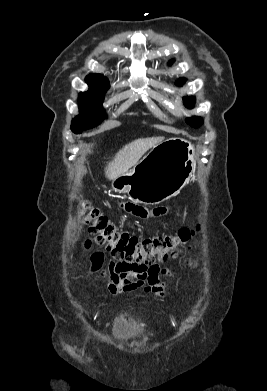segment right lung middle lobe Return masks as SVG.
<instances>
[{
	"label": "right lung middle lobe",
	"instance_id": "dd1d6c3e",
	"mask_svg": "<svg viewBox=\"0 0 267 391\" xmlns=\"http://www.w3.org/2000/svg\"><path fill=\"white\" fill-rule=\"evenodd\" d=\"M103 94L90 90L79 94L80 114L72 120L71 130L78 134L97 126L104 119L102 111Z\"/></svg>",
	"mask_w": 267,
	"mask_h": 391
}]
</instances>
